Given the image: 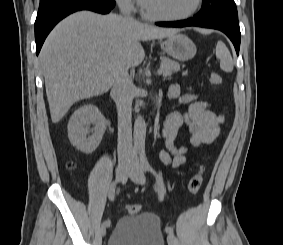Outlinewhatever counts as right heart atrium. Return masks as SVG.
Wrapping results in <instances>:
<instances>
[{"instance_id":"obj_1","label":"right heart atrium","mask_w":283,"mask_h":245,"mask_svg":"<svg viewBox=\"0 0 283 245\" xmlns=\"http://www.w3.org/2000/svg\"><path fill=\"white\" fill-rule=\"evenodd\" d=\"M117 4L127 12H132L135 9L134 0H115Z\"/></svg>"}]
</instances>
